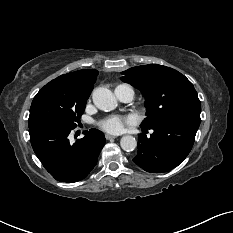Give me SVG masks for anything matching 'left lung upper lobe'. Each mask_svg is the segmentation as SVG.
I'll return each mask as SVG.
<instances>
[{"mask_svg":"<svg viewBox=\"0 0 233 233\" xmlns=\"http://www.w3.org/2000/svg\"><path fill=\"white\" fill-rule=\"evenodd\" d=\"M121 80L139 89L146 97L147 118L142 127L165 120L200 123L201 103L193 84L180 72L157 64L123 71Z\"/></svg>","mask_w":233,"mask_h":233,"instance_id":"1","label":"left lung upper lobe"}]
</instances>
